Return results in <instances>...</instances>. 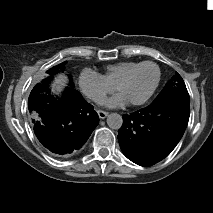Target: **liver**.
I'll return each mask as SVG.
<instances>
[{
  "label": "liver",
  "instance_id": "obj_1",
  "mask_svg": "<svg viewBox=\"0 0 213 213\" xmlns=\"http://www.w3.org/2000/svg\"><path fill=\"white\" fill-rule=\"evenodd\" d=\"M66 83H67V77L64 75H58V77L55 79V81L51 85L52 92L54 93L61 92L63 87L66 85Z\"/></svg>",
  "mask_w": 213,
  "mask_h": 213
}]
</instances>
